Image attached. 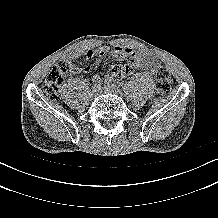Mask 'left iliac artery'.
<instances>
[{
	"label": "left iliac artery",
	"mask_w": 218,
	"mask_h": 218,
	"mask_svg": "<svg viewBox=\"0 0 218 218\" xmlns=\"http://www.w3.org/2000/svg\"><path fill=\"white\" fill-rule=\"evenodd\" d=\"M108 83L111 85V84H113L114 85V87H119V82H112L110 79L108 80Z\"/></svg>",
	"instance_id": "left-iliac-artery-1"
}]
</instances>
